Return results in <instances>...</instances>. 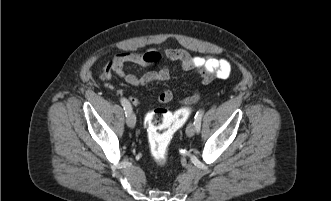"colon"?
<instances>
[{
	"label": "colon",
	"instance_id": "colon-1",
	"mask_svg": "<svg viewBox=\"0 0 331 201\" xmlns=\"http://www.w3.org/2000/svg\"><path fill=\"white\" fill-rule=\"evenodd\" d=\"M198 98L199 95L194 93L184 100L185 106L175 113L157 108L146 115L145 125L150 152L157 163L166 162L173 134L188 119L191 114V105L195 104Z\"/></svg>",
	"mask_w": 331,
	"mask_h": 201
}]
</instances>
